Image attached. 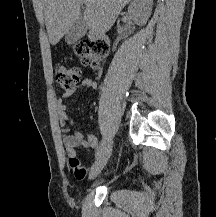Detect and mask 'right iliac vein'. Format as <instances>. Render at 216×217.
I'll return each mask as SVG.
<instances>
[{"mask_svg":"<svg viewBox=\"0 0 216 217\" xmlns=\"http://www.w3.org/2000/svg\"><path fill=\"white\" fill-rule=\"evenodd\" d=\"M112 151V146L108 145L107 148L104 149V151L98 156L96 161L91 167L89 178L94 179L105 167Z\"/></svg>","mask_w":216,"mask_h":217,"instance_id":"obj_1","label":"right iliac vein"}]
</instances>
